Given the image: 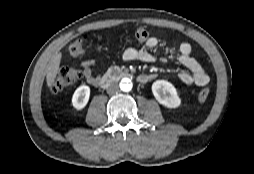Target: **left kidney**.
<instances>
[{
	"mask_svg": "<svg viewBox=\"0 0 254 174\" xmlns=\"http://www.w3.org/2000/svg\"><path fill=\"white\" fill-rule=\"evenodd\" d=\"M152 93L155 99L167 108H177L181 104L174 85L166 80H157L152 84Z\"/></svg>",
	"mask_w": 254,
	"mask_h": 174,
	"instance_id": "1",
	"label": "left kidney"
}]
</instances>
